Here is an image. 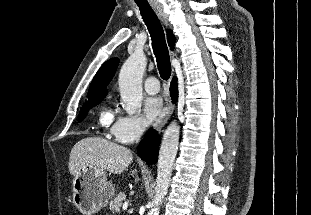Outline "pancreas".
<instances>
[{
    "instance_id": "1",
    "label": "pancreas",
    "mask_w": 311,
    "mask_h": 215,
    "mask_svg": "<svg viewBox=\"0 0 311 215\" xmlns=\"http://www.w3.org/2000/svg\"><path fill=\"white\" fill-rule=\"evenodd\" d=\"M126 201V196L123 192L117 194L113 199L110 201V210L113 214L119 213L120 208L123 205V202Z\"/></svg>"
}]
</instances>
